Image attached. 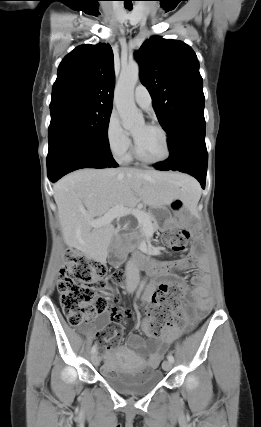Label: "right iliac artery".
<instances>
[{"label": "right iliac artery", "instance_id": "82829eb1", "mask_svg": "<svg viewBox=\"0 0 261 427\" xmlns=\"http://www.w3.org/2000/svg\"><path fill=\"white\" fill-rule=\"evenodd\" d=\"M144 285H145V282H142V283L140 284V287H139V289H138L137 295H140V293H141V291H142V289H143ZM96 350H97V346H96V345H93V347L91 348V352H92V353H95V352H96Z\"/></svg>", "mask_w": 261, "mask_h": 427}]
</instances>
